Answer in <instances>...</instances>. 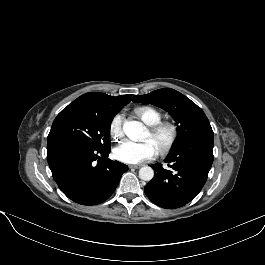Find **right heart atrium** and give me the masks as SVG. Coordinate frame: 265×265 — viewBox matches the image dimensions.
<instances>
[{
  "instance_id": "right-heart-atrium-1",
  "label": "right heart atrium",
  "mask_w": 265,
  "mask_h": 265,
  "mask_svg": "<svg viewBox=\"0 0 265 265\" xmlns=\"http://www.w3.org/2000/svg\"><path fill=\"white\" fill-rule=\"evenodd\" d=\"M123 122L124 116L122 113L116 114L109 123V133L115 138H121L123 136Z\"/></svg>"
}]
</instances>
